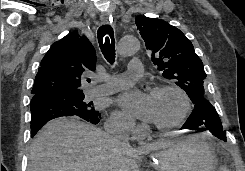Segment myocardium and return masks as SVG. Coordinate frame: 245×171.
Here are the masks:
<instances>
[{"label": "myocardium", "mask_w": 245, "mask_h": 171, "mask_svg": "<svg viewBox=\"0 0 245 171\" xmlns=\"http://www.w3.org/2000/svg\"><path fill=\"white\" fill-rule=\"evenodd\" d=\"M166 91L174 92L175 94L179 96L182 102V109L180 113L178 114V116L169 123H166V124L153 123L155 128H157L158 130H163V131L173 129L177 127L178 125H180L186 119V117L188 116L191 110L190 98L187 95V93L179 86L169 85V84L158 85L152 89L151 94H157V93L166 92Z\"/></svg>", "instance_id": "obj_1"}]
</instances>
